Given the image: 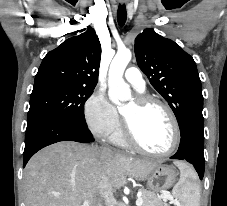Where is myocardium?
Here are the masks:
<instances>
[{
    "mask_svg": "<svg viewBox=\"0 0 227 206\" xmlns=\"http://www.w3.org/2000/svg\"><path fill=\"white\" fill-rule=\"evenodd\" d=\"M134 101L136 102L137 106L141 109L149 107V106H158V107L162 108L170 118V121L173 126L174 137H173L172 145L168 150L163 151V152L150 151L141 145V143L136 138L130 123L122 115V119H123L122 132H123V137H124L125 141L127 142V144L140 153L150 155V156H155V157H164V156H168V155H171L172 153H174L176 151V149L178 148L180 141H181V129H180L178 119H177L174 111L172 110V108L166 102H164L158 98L150 97V96H137L134 99Z\"/></svg>",
    "mask_w": 227,
    "mask_h": 206,
    "instance_id": "1",
    "label": "myocardium"
}]
</instances>
